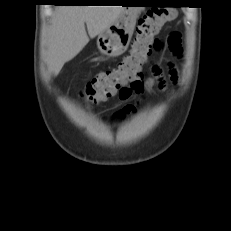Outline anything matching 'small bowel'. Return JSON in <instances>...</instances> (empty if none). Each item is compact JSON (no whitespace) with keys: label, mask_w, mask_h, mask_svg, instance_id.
Wrapping results in <instances>:
<instances>
[{"label":"small bowel","mask_w":231,"mask_h":231,"mask_svg":"<svg viewBox=\"0 0 231 231\" xmlns=\"http://www.w3.org/2000/svg\"><path fill=\"white\" fill-rule=\"evenodd\" d=\"M166 42L171 53L175 57L181 58L183 51L180 35L177 32H172ZM150 71L152 76L146 81L140 80L132 82L119 90L118 97L124 103V106L113 116L114 120H120L128 115L134 114L140 98L143 97L145 92H151L154 86H157L161 90L166 88L167 82L164 76V70L158 64L152 63ZM167 76L173 84L178 82V69L173 62L167 64Z\"/></svg>","instance_id":"c3829d8e"}]
</instances>
